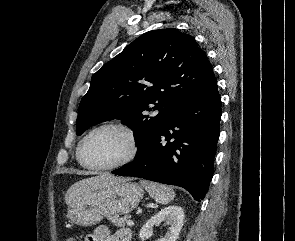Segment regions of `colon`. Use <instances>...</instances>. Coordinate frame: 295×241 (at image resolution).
I'll use <instances>...</instances> for the list:
<instances>
[{"instance_id": "colon-1", "label": "colon", "mask_w": 295, "mask_h": 241, "mask_svg": "<svg viewBox=\"0 0 295 241\" xmlns=\"http://www.w3.org/2000/svg\"><path fill=\"white\" fill-rule=\"evenodd\" d=\"M66 241H73L72 239H67Z\"/></svg>"}]
</instances>
